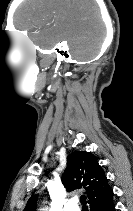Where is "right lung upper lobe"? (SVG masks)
<instances>
[{
    "instance_id": "cb5924a9",
    "label": "right lung upper lobe",
    "mask_w": 133,
    "mask_h": 211,
    "mask_svg": "<svg viewBox=\"0 0 133 211\" xmlns=\"http://www.w3.org/2000/svg\"><path fill=\"white\" fill-rule=\"evenodd\" d=\"M62 184L69 192L85 188L90 208L113 198L108 179L96 157L90 152L75 151L68 156ZM37 197L38 195L30 197L24 211H35Z\"/></svg>"
}]
</instances>
